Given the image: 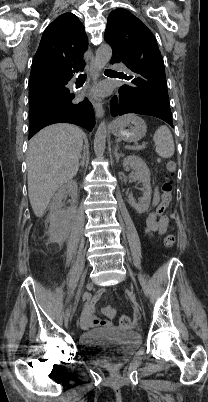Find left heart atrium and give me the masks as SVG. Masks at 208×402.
Returning a JSON list of instances; mask_svg holds the SVG:
<instances>
[{
	"label": "left heart atrium",
	"mask_w": 208,
	"mask_h": 402,
	"mask_svg": "<svg viewBox=\"0 0 208 402\" xmlns=\"http://www.w3.org/2000/svg\"><path fill=\"white\" fill-rule=\"evenodd\" d=\"M107 91V86L105 84H99L95 86L92 90V93L96 96H101L105 94Z\"/></svg>",
	"instance_id": "1"
}]
</instances>
